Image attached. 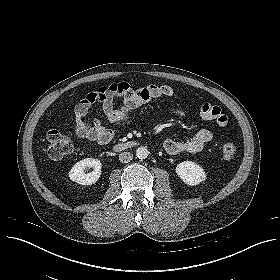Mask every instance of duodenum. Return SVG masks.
Here are the masks:
<instances>
[{"instance_id":"410a0bca","label":"duodenum","mask_w":280,"mask_h":280,"mask_svg":"<svg viewBox=\"0 0 280 280\" xmlns=\"http://www.w3.org/2000/svg\"><path fill=\"white\" fill-rule=\"evenodd\" d=\"M135 146H136V143L130 141V142H125V143L118 144L115 147V150L118 151V152H121V151H125V150H128V149H131V148H133Z\"/></svg>"}]
</instances>
